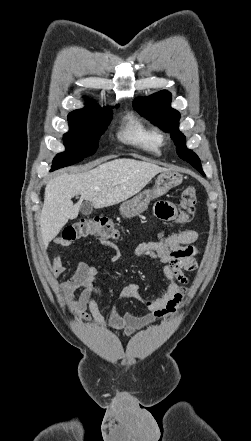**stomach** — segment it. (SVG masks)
<instances>
[{
    "instance_id": "1",
    "label": "stomach",
    "mask_w": 251,
    "mask_h": 441,
    "mask_svg": "<svg viewBox=\"0 0 251 441\" xmlns=\"http://www.w3.org/2000/svg\"><path fill=\"white\" fill-rule=\"evenodd\" d=\"M183 177L177 171L167 169L158 175L153 189H147L134 196L132 199L124 201L120 205V213L126 218H133L143 213L154 198L166 194L170 189L179 186Z\"/></svg>"
}]
</instances>
